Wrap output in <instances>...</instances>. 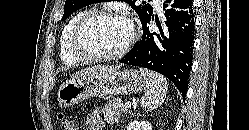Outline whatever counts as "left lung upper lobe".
<instances>
[{
  "mask_svg": "<svg viewBox=\"0 0 249 130\" xmlns=\"http://www.w3.org/2000/svg\"><path fill=\"white\" fill-rule=\"evenodd\" d=\"M124 1L128 3L136 11L141 22L144 21L152 13V6L146 1H143L141 4H136V0H124ZM99 2H104V1L103 0H66L64 5V14L62 20H65L73 12L84 6Z\"/></svg>",
  "mask_w": 249,
  "mask_h": 130,
  "instance_id": "1",
  "label": "left lung upper lobe"
}]
</instances>
